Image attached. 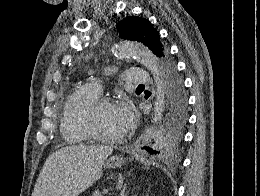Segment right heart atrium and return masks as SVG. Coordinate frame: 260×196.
<instances>
[{
  "label": "right heart atrium",
  "mask_w": 260,
  "mask_h": 196,
  "mask_svg": "<svg viewBox=\"0 0 260 196\" xmlns=\"http://www.w3.org/2000/svg\"><path fill=\"white\" fill-rule=\"evenodd\" d=\"M125 163V162H124ZM60 192H66L65 190H61Z\"/></svg>",
  "instance_id": "d8ad5b80"
}]
</instances>
